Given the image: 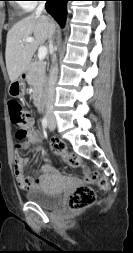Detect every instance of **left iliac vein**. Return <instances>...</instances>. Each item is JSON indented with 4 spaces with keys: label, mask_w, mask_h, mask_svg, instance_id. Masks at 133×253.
Returning <instances> with one entry per match:
<instances>
[{
    "label": "left iliac vein",
    "mask_w": 133,
    "mask_h": 253,
    "mask_svg": "<svg viewBox=\"0 0 133 253\" xmlns=\"http://www.w3.org/2000/svg\"><path fill=\"white\" fill-rule=\"evenodd\" d=\"M49 130H50V131H53V130H54V126H53L51 123L49 124Z\"/></svg>",
    "instance_id": "1"
}]
</instances>
